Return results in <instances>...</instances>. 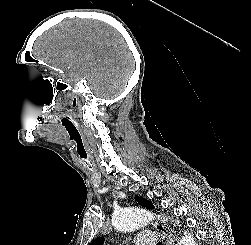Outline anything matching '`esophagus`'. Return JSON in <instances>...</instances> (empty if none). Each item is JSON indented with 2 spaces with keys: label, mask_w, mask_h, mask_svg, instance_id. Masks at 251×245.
<instances>
[{
  "label": "esophagus",
  "mask_w": 251,
  "mask_h": 245,
  "mask_svg": "<svg viewBox=\"0 0 251 245\" xmlns=\"http://www.w3.org/2000/svg\"><path fill=\"white\" fill-rule=\"evenodd\" d=\"M153 227L160 233L164 239V245H173L174 238L172 233L163 225L157 222L152 223Z\"/></svg>",
  "instance_id": "obj_1"
}]
</instances>
